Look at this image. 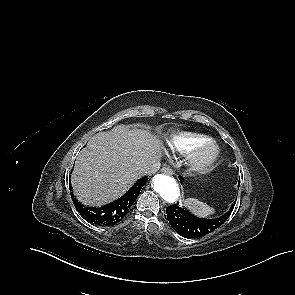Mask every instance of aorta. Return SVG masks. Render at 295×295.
Returning <instances> with one entry per match:
<instances>
[{
    "mask_svg": "<svg viewBox=\"0 0 295 295\" xmlns=\"http://www.w3.org/2000/svg\"><path fill=\"white\" fill-rule=\"evenodd\" d=\"M152 187L167 202L174 203L180 196L178 183L173 177L168 175H155L152 179Z\"/></svg>",
    "mask_w": 295,
    "mask_h": 295,
    "instance_id": "1",
    "label": "aorta"
}]
</instances>
